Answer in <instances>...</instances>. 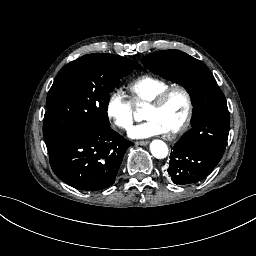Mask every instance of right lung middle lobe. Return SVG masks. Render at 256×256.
<instances>
[{
	"instance_id": "obj_1",
	"label": "right lung middle lobe",
	"mask_w": 256,
	"mask_h": 256,
	"mask_svg": "<svg viewBox=\"0 0 256 256\" xmlns=\"http://www.w3.org/2000/svg\"><path fill=\"white\" fill-rule=\"evenodd\" d=\"M140 66L113 54H88L65 65L47 96L45 141L59 135L79 136L110 128L109 93Z\"/></svg>"
}]
</instances>
